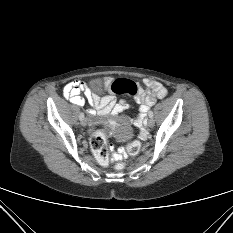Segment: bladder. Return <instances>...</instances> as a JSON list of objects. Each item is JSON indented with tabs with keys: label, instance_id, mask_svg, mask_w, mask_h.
<instances>
[{
	"label": "bladder",
	"instance_id": "31cf9c89",
	"mask_svg": "<svg viewBox=\"0 0 233 233\" xmlns=\"http://www.w3.org/2000/svg\"><path fill=\"white\" fill-rule=\"evenodd\" d=\"M95 85H96V86H100V85H101V82H100L99 80H97V81L95 82Z\"/></svg>",
	"mask_w": 233,
	"mask_h": 233
}]
</instances>
